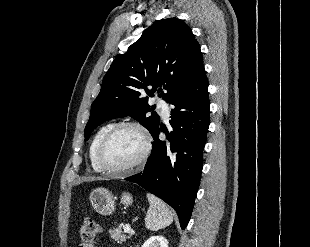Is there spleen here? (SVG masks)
I'll list each match as a JSON object with an SVG mask.
<instances>
[{"label":"spleen","instance_id":"obj_1","mask_svg":"<svg viewBox=\"0 0 310 247\" xmlns=\"http://www.w3.org/2000/svg\"><path fill=\"white\" fill-rule=\"evenodd\" d=\"M149 209L145 218V226L151 231H157L173 222V214L167 205L156 196L148 193Z\"/></svg>","mask_w":310,"mask_h":247}]
</instances>
